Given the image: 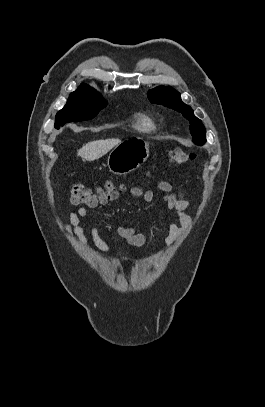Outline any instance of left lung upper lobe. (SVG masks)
<instances>
[{
    "label": "left lung upper lobe",
    "instance_id": "left-lung-upper-lobe-1",
    "mask_svg": "<svg viewBox=\"0 0 265 407\" xmlns=\"http://www.w3.org/2000/svg\"><path fill=\"white\" fill-rule=\"evenodd\" d=\"M148 98L152 103L162 104L166 107L172 108L190 121V131L193 136V142L203 145L206 142V130L201 120L195 117L193 110L190 106L186 105L181 100L179 92L171 87H156L148 92Z\"/></svg>",
    "mask_w": 265,
    "mask_h": 407
}]
</instances>
